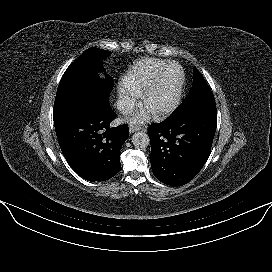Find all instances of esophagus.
<instances>
[{
    "mask_svg": "<svg viewBox=\"0 0 272 272\" xmlns=\"http://www.w3.org/2000/svg\"><path fill=\"white\" fill-rule=\"evenodd\" d=\"M141 129L143 130L142 127L135 126V125H130V126H129V132H130V133H134V132L139 131V130H141Z\"/></svg>",
    "mask_w": 272,
    "mask_h": 272,
    "instance_id": "34e87169",
    "label": "esophagus"
}]
</instances>
